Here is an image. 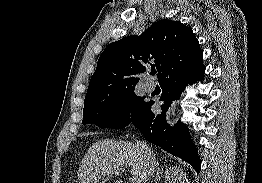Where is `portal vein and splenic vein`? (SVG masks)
<instances>
[{"label":"portal vein and splenic vein","instance_id":"1","mask_svg":"<svg viewBox=\"0 0 262 183\" xmlns=\"http://www.w3.org/2000/svg\"><path fill=\"white\" fill-rule=\"evenodd\" d=\"M123 172H125V169H122V170H120V171H117V172H115L114 174L119 175L120 173H123ZM131 182H132V183H140V178L134 176V177H132Z\"/></svg>","mask_w":262,"mask_h":183}]
</instances>
